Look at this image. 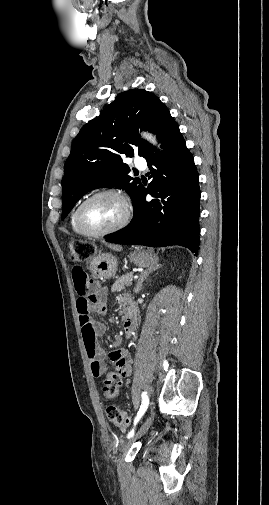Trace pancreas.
Here are the masks:
<instances>
[{
    "label": "pancreas",
    "instance_id": "cf45deb5",
    "mask_svg": "<svg viewBox=\"0 0 269 505\" xmlns=\"http://www.w3.org/2000/svg\"><path fill=\"white\" fill-rule=\"evenodd\" d=\"M133 278V274H126L118 278L115 283L113 284L111 291L112 292H120L126 288V286H129Z\"/></svg>",
    "mask_w": 269,
    "mask_h": 505
}]
</instances>
